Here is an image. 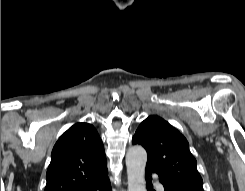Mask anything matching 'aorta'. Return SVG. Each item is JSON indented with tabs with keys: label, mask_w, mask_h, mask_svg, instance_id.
<instances>
[{
	"label": "aorta",
	"mask_w": 245,
	"mask_h": 191,
	"mask_svg": "<svg viewBox=\"0 0 245 191\" xmlns=\"http://www.w3.org/2000/svg\"><path fill=\"white\" fill-rule=\"evenodd\" d=\"M147 153L141 146L130 147L126 154L128 191H146L145 167Z\"/></svg>",
	"instance_id": "obj_1"
}]
</instances>
